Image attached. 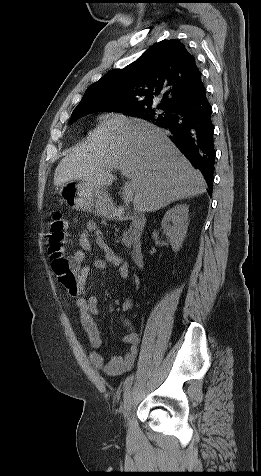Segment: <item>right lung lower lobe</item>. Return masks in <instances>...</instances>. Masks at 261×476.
I'll return each instance as SVG.
<instances>
[{
	"mask_svg": "<svg viewBox=\"0 0 261 476\" xmlns=\"http://www.w3.org/2000/svg\"><path fill=\"white\" fill-rule=\"evenodd\" d=\"M211 117L204 87L193 99L175 106L167 117L153 123L172 133L171 140L212 185L216 152Z\"/></svg>",
	"mask_w": 261,
	"mask_h": 476,
	"instance_id": "98d812e1",
	"label": "right lung lower lobe"
}]
</instances>
